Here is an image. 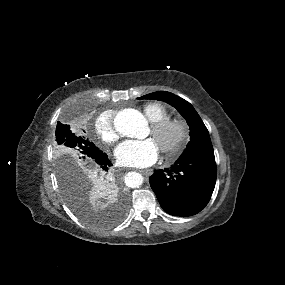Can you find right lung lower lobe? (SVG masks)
<instances>
[{
  "instance_id": "obj_1",
  "label": "right lung lower lobe",
  "mask_w": 285,
  "mask_h": 285,
  "mask_svg": "<svg viewBox=\"0 0 285 285\" xmlns=\"http://www.w3.org/2000/svg\"><path fill=\"white\" fill-rule=\"evenodd\" d=\"M95 161L97 162V165L99 166L103 174V179L100 183L112 188L113 180L111 178V174L109 173V169L112 166L111 161L108 159L107 155L102 152L99 153Z\"/></svg>"
}]
</instances>
